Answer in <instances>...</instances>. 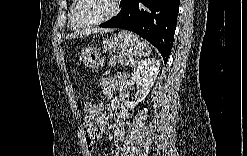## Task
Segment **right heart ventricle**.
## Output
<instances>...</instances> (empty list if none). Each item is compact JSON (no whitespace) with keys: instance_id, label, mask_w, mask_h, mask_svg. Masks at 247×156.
<instances>
[{"instance_id":"e07e8e85","label":"right heart ventricle","mask_w":247,"mask_h":156,"mask_svg":"<svg viewBox=\"0 0 247 156\" xmlns=\"http://www.w3.org/2000/svg\"><path fill=\"white\" fill-rule=\"evenodd\" d=\"M74 3H75V2H72L71 7H70V10H69V21H70V15H71V12H72V8H73V6H74ZM70 26H71L73 29H76V28H74V27L71 25V22H70Z\"/></svg>"}]
</instances>
